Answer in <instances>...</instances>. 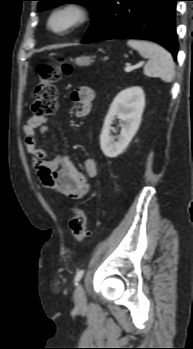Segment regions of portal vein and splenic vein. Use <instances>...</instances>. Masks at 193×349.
I'll return each mask as SVG.
<instances>
[{"instance_id":"portal-vein-and-splenic-vein-1","label":"portal vein and splenic vein","mask_w":193,"mask_h":349,"mask_svg":"<svg viewBox=\"0 0 193 349\" xmlns=\"http://www.w3.org/2000/svg\"><path fill=\"white\" fill-rule=\"evenodd\" d=\"M143 63L144 62H140L136 66L127 65L124 70H125V72H131L133 69L140 67Z\"/></svg>"}]
</instances>
